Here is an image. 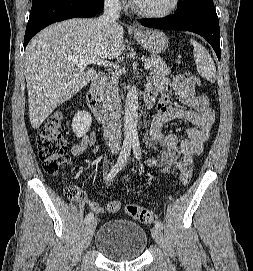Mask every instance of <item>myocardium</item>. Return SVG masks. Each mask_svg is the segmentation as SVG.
I'll return each instance as SVG.
<instances>
[{"mask_svg": "<svg viewBox=\"0 0 253 271\" xmlns=\"http://www.w3.org/2000/svg\"><path fill=\"white\" fill-rule=\"evenodd\" d=\"M180 0H171L169 6L163 10L159 11H148L142 9L138 6L137 2L134 1V10L140 16L151 18V19H160L172 15L179 7Z\"/></svg>", "mask_w": 253, "mask_h": 271, "instance_id": "1", "label": "myocardium"}]
</instances>
